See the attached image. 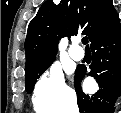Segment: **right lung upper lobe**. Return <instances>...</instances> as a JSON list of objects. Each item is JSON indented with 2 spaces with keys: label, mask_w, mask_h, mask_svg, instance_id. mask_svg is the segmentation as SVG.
<instances>
[{
  "label": "right lung upper lobe",
  "mask_w": 121,
  "mask_h": 113,
  "mask_svg": "<svg viewBox=\"0 0 121 113\" xmlns=\"http://www.w3.org/2000/svg\"><path fill=\"white\" fill-rule=\"evenodd\" d=\"M119 24L112 0H47L28 25L25 70L56 55L63 36L85 34L92 43Z\"/></svg>",
  "instance_id": "right-lung-upper-lobe-1"
}]
</instances>
